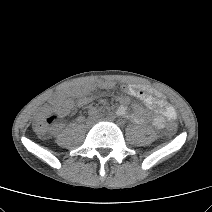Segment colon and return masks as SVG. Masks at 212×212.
<instances>
[{"label":"colon","mask_w":212,"mask_h":212,"mask_svg":"<svg viewBox=\"0 0 212 212\" xmlns=\"http://www.w3.org/2000/svg\"><path fill=\"white\" fill-rule=\"evenodd\" d=\"M57 120V114L45 111V113H43L35 120L33 128L38 134L45 135L49 132L51 126L54 125ZM167 130L171 133L175 132L177 130V123L174 121H170L167 124Z\"/></svg>","instance_id":"obj_1"}]
</instances>
